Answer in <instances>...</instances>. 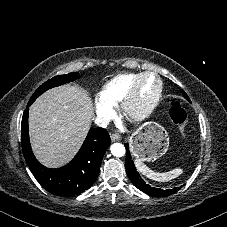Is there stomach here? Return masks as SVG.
<instances>
[{
  "mask_svg": "<svg viewBox=\"0 0 227 227\" xmlns=\"http://www.w3.org/2000/svg\"><path fill=\"white\" fill-rule=\"evenodd\" d=\"M130 149L140 161L156 160L163 156L169 147V137L163 126L147 122L130 137Z\"/></svg>",
  "mask_w": 227,
  "mask_h": 227,
  "instance_id": "obj_1",
  "label": "stomach"
}]
</instances>
